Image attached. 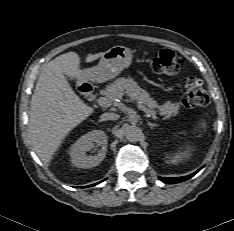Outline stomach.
<instances>
[{"instance_id":"obj_1","label":"stomach","mask_w":234,"mask_h":231,"mask_svg":"<svg viewBox=\"0 0 234 231\" xmlns=\"http://www.w3.org/2000/svg\"><path fill=\"white\" fill-rule=\"evenodd\" d=\"M132 51L124 46H114L106 51L99 63L91 68L81 71L80 79L92 82H105L117 76L124 68L132 63Z\"/></svg>"}]
</instances>
